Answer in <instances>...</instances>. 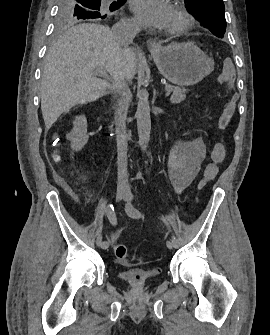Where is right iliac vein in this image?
Here are the masks:
<instances>
[{
  "label": "right iliac vein",
  "mask_w": 270,
  "mask_h": 335,
  "mask_svg": "<svg viewBox=\"0 0 270 335\" xmlns=\"http://www.w3.org/2000/svg\"><path fill=\"white\" fill-rule=\"evenodd\" d=\"M126 195V189L124 186L120 185L117 187V192H116V200L117 201H121L122 199H124ZM102 234H99L96 238V245L97 246H101L102 244Z\"/></svg>",
  "instance_id": "right-iliac-vein-1"
}]
</instances>
